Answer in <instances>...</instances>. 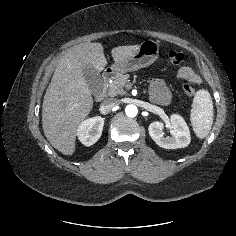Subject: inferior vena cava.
<instances>
[{
  "instance_id": "1",
  "label": "inferior vena cava",
  "mask_w": 236,
  "mask_h": 236,
  "mask_svg": "<svg viewBox=\"0 0 236 236\" xmlns=\"http://www.w3.org/2000/svg\"><path fill=\"white\" fill-rule=\"evenodd\" d=\"M120 104L119 100L116 98H108L104 100L101 104V108L103 113H107L114 109L116 106Z\"/></svg>"
}]
</instances>
